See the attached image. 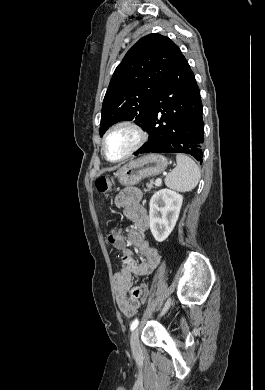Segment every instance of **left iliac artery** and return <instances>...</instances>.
Returning <instances> with one entry per match:
<instances>
[{
  "label": "left iliac artery",
  "mask_w": 265,
  "mask_h": 390,
  "mask_svg": "<svg viewBox=\"0 0 265 390\" xmlns=\"http://www.w3.org/2000/svg\"><path fill=\"white\" fill-rule=\"evenodd\" d=\"M139 324V320L138 319H135L131 325H130V330L133 331L134 329H136V327L138 326Z\"/></svg>",
  "instance_id": "left-iliac-artery-1"
}]
</instances>
